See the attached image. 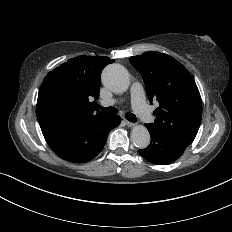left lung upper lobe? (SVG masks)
I'll list each match as a JSON object with an SVG mask.
<instances>
[{"mask_svg": "<svg viewBox=\"0 0 232 232\" xmlns=\"http://www.w3.org/2000/svg\"><path fill=\"white\" fill-rule=\"evenodd\" d=\"M129 61L142 74L150 102H159L154 123L145 126L190 145L202 117L201 96L192 75L164 53L146 52Z\"/></svg>", "mask_w": 232, "mask_h": 232, "instance_id": "left-lung-upper-lobe-1", "label": "left lung upper lobe"}]
</instances>
